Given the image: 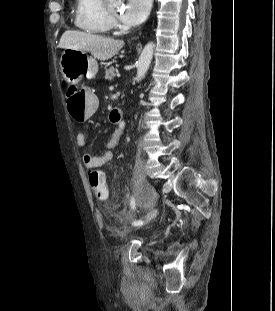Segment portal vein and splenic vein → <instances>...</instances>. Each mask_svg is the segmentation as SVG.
Here are the masks:
<instances>
[{
    "mask_svg": "<svg viewBox=\"0 0 275 311\" xmlns=\"http://www.w3.org/2000/svg\"><path fill=\"white\" fill-rule=\"evenodd\" d=\"M121 75L120 74H117V77H120Z\"/></svg>",
    "mask_w": 275,
    "mask_h": 311,
    "instance_id": "1",
    "label": "portal vein and splenic vein"
}]
</instances>
